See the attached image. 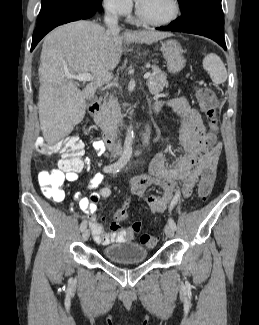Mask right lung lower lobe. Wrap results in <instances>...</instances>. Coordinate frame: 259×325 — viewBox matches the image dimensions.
<instances>
[{"label":"right lung lower lobe","instance_id":"obj_1","mask_svg":"<svg viewBox=\"0 0 259 325\" xmlns=\"http://www.w3.org/2000/svg\"><path fill=\"white\" fill-rule=\"evenodd\" d=\"M97 13V10L78 6H64L51 10L37 22V27L32 38L31 51L53 28L71 21L91 18Z\"/></svg>","mask_w":259,"mask_h":325}]
</instances>
